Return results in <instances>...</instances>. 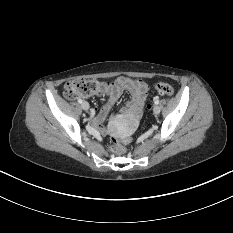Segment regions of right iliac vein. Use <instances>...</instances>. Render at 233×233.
<instances>
[{
    "mask_svg": "<svg viewBox=\"0 0 233 233\" xmlns=\"http://www.w3.org/2000/svg\"><path fill=\"white\" fill-rule=\"evenodd\" d=\"M81 107H82V109L83 110H85V111H87V110H89V103L88 102H82V104H81Z\"/></svg>",
    "mask_w": 233,
    "mask_h": 233,
    "instance_id": "1",
    "label": "right iliac vein"
}]
</instances>
